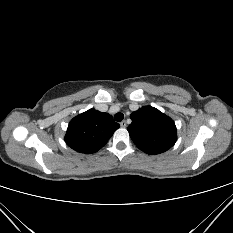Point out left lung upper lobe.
<instances>
[{
  "label": "left lung upper lobe",
  "instance_id": "1",
  "mask_svg": "<svg viewBox=\"0 0 233 233\" xmlns=\"http://www.w3.org/2000/svg\"><path fill=\"white\" fill-rule=\"evenodd\" d=\"M132 123L127 130L135 145L151 155L171 148L177 140L175 123L151 106H143L130 115Z\"/></svg>",
  "mask_w": 233,
  "mask_h": 233
}]
</instances>
